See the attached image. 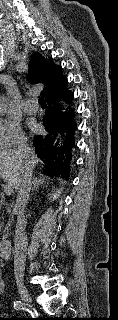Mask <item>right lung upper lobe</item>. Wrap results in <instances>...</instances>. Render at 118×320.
I'll list each match as a JSON object with an SVG mask.
<instances>
[{
  "label": "right lung upper lobe",
  "instance_id": "right-lung-upper-lobe-1",
  "mask_svg": "<svg viewBox=\"0 0 118 320\" xmlns=\"http://www.w3.org/2000/svg\"><path fill=\"white\" fill-rule=\"evenodd\" d=\"M61 70L60 66H47L45 59L39 53H34L30 61L28 78L33 83L45 85L41 95L46 99L60 91L63 88V84L66 83V79L61 75Z\"/></svg>",
  "mask_w": 118,
  "mask_h": 320
}]
</instances>
